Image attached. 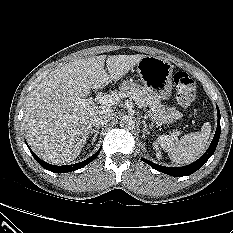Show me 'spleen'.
Masks as SVG:
<instances>
[{
	"instance_id": "spleen-1",
	"label": "spleen",
	"mask_w": 233,
	"mask_h": 233,
	"mask_svg": "<svg viewBox=\"0 0 233 233\" xmlns=\"http://www.w3.org/2000/svg\"><path fill=\"white\" fill-rule=\"evenodd\" d=\"M211 133V125L206 122L200 132L184 135L176 141L169 135H161L158 138L160 146L168 152L170 159L177 164L190 163L197 159L205 150Z\"/></svg>"
}]
</instances>
